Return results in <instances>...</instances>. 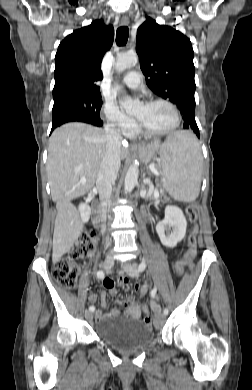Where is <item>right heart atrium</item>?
<instances>
[{
    "label": "right heart atrium",
    "mask_w": 252,
    "mask_h": 390,
    "mask_svg": "<svg viewBox=\"0 0 252 390\" xmlns=\"http://www.w3.org/2000/svg\"><path fill=\"white\" fill-rule=\"evenodd\" d=\"M103 113L108 125L121 135L130 136L135 131V121L124 114L114 102H106Z\"/></svg>",
    "instance_id": "1"
}]
</instances>
